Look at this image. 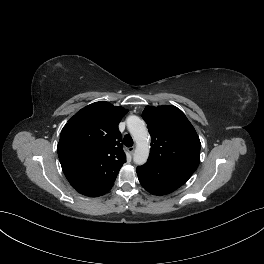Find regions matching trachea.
Listing matches in <instances>:
<instances>
[{
	"label": "trachea",
	"instance_id": "trachea-1",
	"mask_svg": "<svg viewBox=\"0 0 264 264\" xmlns=\"http://www.w3.org/2000/svg\"><path fill=\"white\" fill-rule=\"evenodd\" d=\"M123 142L126 147H131L133 145V139L130 135H125Z\"/></svg>",
	"mask_w": 264,
	"mask_h": 264
}]
</instances>
